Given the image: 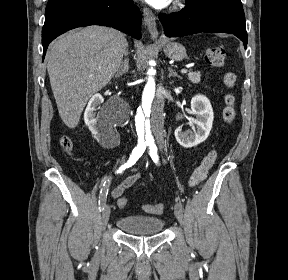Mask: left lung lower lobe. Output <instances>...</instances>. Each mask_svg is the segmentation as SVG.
I'll return each mask as SVG.
<instances>
[{
    "label": "left lung lower lobe",
    "mask_w": 288,
    "mask_h": 280,
    "mask_svg": "<svg viewBox=\"0 0 288 280\" xmlns=\"http://www.w3.org/2000/svg\"><path fill=\"white\" fill-rule=\"evenodd\" d=\"M159 19L168 37H182L190 34L231 33L247 47L245 16L201 1L196 5L186 4L185 8L172 14H160Z\"/></svg>",
    "instance_id": "obj_1"
}]
</instances>
